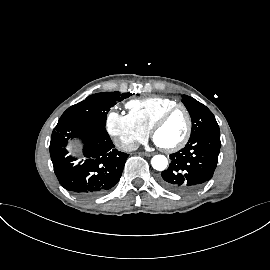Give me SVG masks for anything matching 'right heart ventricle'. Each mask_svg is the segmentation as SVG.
Returning <instances> with one entry per match:
<instances>
[{"mask_svg":"<svg viewBox=\"0 0 270 270\" xmlns=\"http://www.w3.org/2000/svg\"><path fill=\"white\" fill-rule=\"evenodd\" d=\"M177 101L166 97H148L134 99L126 104L133 119L148 131L157 118Z\"/></svg>","mask_w":270,"mask_h":270,"instance_id":"e07e8e85","label":"right heart ventricle"}]
</instances>
